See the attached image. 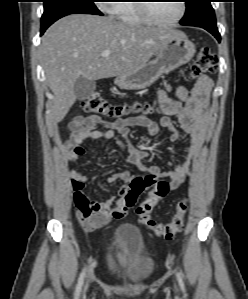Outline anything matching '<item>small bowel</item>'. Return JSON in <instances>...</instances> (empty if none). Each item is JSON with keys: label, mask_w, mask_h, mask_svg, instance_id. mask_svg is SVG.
<instances>
[{"label": "small bowel", "mask_w": 248, "mask_h": 299, "mask_svg": "<svg viewBox=\"0 0 248 299\" xmlns=\"http://www.w3.org/2000/svg\"><path fill=\"white\" fill-rule=\"evenodd\" d=\"M213 82L207 76L197 77L191 93H188L181 85L166 86L158 92L157 102L161 111L166 114L159 123L145 116H132L119 118L112 122L103 123L96 116L78 117L70 124V136L64 143L67 162L78 163L85 149L81 146L87 140L115 139L117 143L128 152V162L137 166L140 170L155 174L158 178H168L171 190L179 188L189 176L191 163L197 159L201 152L203 134L207 123V99L212 90ZM174 91L176 99L168 96ZM170 115H177L181 130L189 137V151L185 161L178 164H170L169 170L159 167H146L142 161L147 158L148 153L136 148L131 143H123L119 136L128 139L132 127H142L150 135H156L160 127L167 129L170 133V141L177 142L180 138L179 129L175 126ZM71 184L74 192L81 190L87 181V176L79 171H70ZM110 182L116 180L125 184L119 189L118 196L108 197L101 200H93L88 194L90 205L95 212L89 217L76 215L78 222L87 232H92L106 226L111 219H121L127 212L123 203L122 194L127 189L130 180L128 172H120L108 178Z\"/></svg>", "instance_id": "1"}]
</instances>
